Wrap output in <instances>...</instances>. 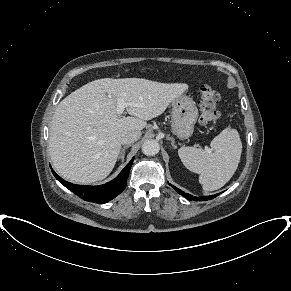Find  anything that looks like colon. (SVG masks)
<instances>
[{"label": "colon", "mask_w": 291, "mask_h": 291, "mask_svg": "<svg viewBox=\"0 0 291 291\" xmlns=\"http://www.w3.org/2000/svg\"><path fill=\"white\" fill-rule=\"evenodd\" d=\"M220 101V94L210 85H202L200 88V123L203 125L215 124L221 117L216 109Z\"/></svg>", "instance_id": "1"}]
</instances>
